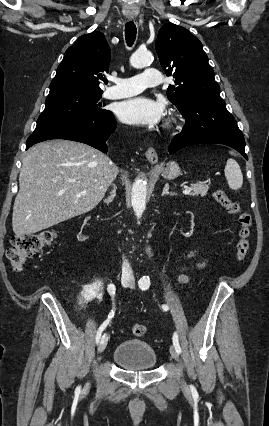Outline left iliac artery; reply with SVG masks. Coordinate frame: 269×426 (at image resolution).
<instances>
[{"label": "left iliac artery", "mask_w": 269, "mask_h": 426, "mask_svg": "<svg viewBox=\"0 0 269 426\" xmlns=\"http://www.w3.org/2000/svg\"><path fill=\"white\" fill-rule=\"evenodd\" d=\"M138 284H139V288L140 289L147 290L149 288V286H150V279H149V277L148 276H143L139 280ZM162 309L164 311H167L169 309V307L166 304H163L162 305ZM172 340H173V345H174L176 351L178 353H181V347L179 345L178 334L176 332L173 334ZM190 388H191L192 392H196V389H195V387L193 385H191Z\"/></svg>", "instance_id": "obj_1"}]
</instances>
